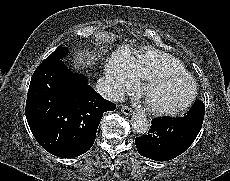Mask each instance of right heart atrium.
I'll return each mask as SVG.
<instances>
[{
  "label": "right heart atrium",
  "instance_id": "right-heart-atrium-1",
  "mask_svg": "<svg viewBox=\"0 0 230 181\" xmlns=\"http://www.w3.org/2000/svg\"><path fill=\"white\" fill-rule=\"evenodd\" d=\"M105 75L109 89L114 93H120L130 86L136 78L123 69H117L108 63L105 66Z\"/></svg>",
  "mask_w": 230,
  "mask_h": 181
}]
</instances>
